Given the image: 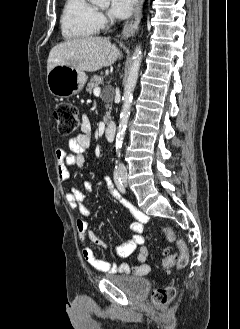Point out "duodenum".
<instances>
[{
	"mask_svg": "<svg viewBox=\"0 0 240 329\" xmlns=\"http://www.w3.org/2000/svg\"><path fill=\"white\" fill-rule=\"evenodd\" d=\"M116 134V125L114 122H109L106 125L104 136L108 141H113Z\"/></svg>",
	"mask_w": 240,
	"mask_h": 329,
	"instance_id": "obj_1",
	"label": "duodenum"
}]
</instances>
